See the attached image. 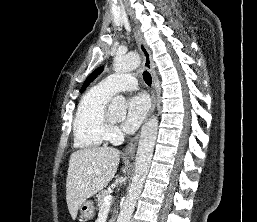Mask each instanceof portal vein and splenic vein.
<instances>
[{"label": "portal vein and splenic vein", "instance_id": "18ae733b", "mask_svg": "<svg viewBox=\"0 0 257 222\" xmlns=\"http://www.w3.org/2000/svg\"><path fill=\"white\" fill-rule=\"evenodd\" d=\"M111 201H112V196L111 195H107L105 198H104V203L101 207L102 208H105V207H109L111 205Z\"/></svg>", "mask_w": 257, "mask_h": 222}]
</instances>
